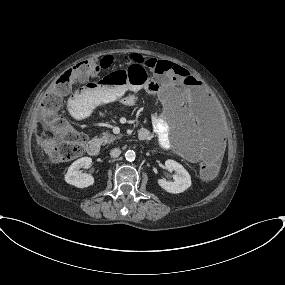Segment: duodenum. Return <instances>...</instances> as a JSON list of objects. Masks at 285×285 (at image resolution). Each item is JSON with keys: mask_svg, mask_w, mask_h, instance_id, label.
Instances as JSON below:
<instances>
[{"mask_svg": "<svg viewBox=\"0 0 285 285\" xmlns=\"http://www.w3.org/2000/svg\"><path fill=\"white\" fill-rule=\"evenodd\" d=\"M139 140L143 141L146 138V133L138 134ZM87 152L94 156L100 152V142L98 140H91L87 145Z\"/></svg>", "mask_w": 285, "mask_h": 285, "instance_id": "obj_1", "label": "duodenum"}]
</instances>
